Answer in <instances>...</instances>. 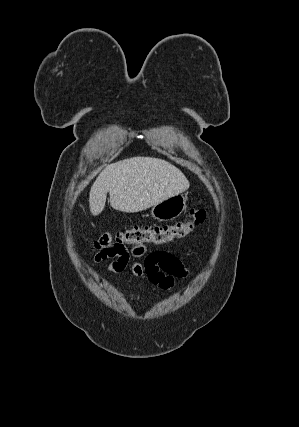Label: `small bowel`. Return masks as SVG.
I'll use <instances>...</instances> for the list:
<instances>
[{
  "instance_id": "c3829d8e",
  "label": "small bowel",
  "mask_w": 299,
  "mask_h": 427,
  "mask_svg": "<svg viewBox=\"0 0 299 427\" xmlns=\"http://www.w3.org/2000/svg\"><path fill=\"white\" fill-rule=\"evenodd\" d=\"M145 257L144 262H133V258ZM129 269L137 277H146L148 280L162 288L170 289L176 279L188 276V268L173 254L166 251L147 253L144 245L134 246L131 250L114 256L107 266L110 273H122Z\"/></svg>"
}]
</instances>
